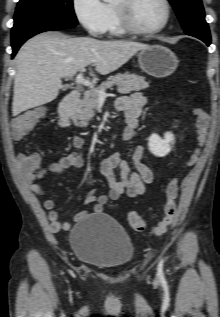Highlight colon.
<instances>
[{"instance_id": "colon-1", "label": "colon", "mask_w": 220, "mask_h": 317, "mask_svg": "<svg viewBox=\"0 0 220 317\" xmlns=\"http://www.w3.org/2000/svg\"><path fill=\"white\" fill-rule=\"evenodd\" d=\"M197 117L196 122V148L193 150L189 157V162H193L199 152V147L203 144L207 129L209 126V116L201 108H196L194 110ZM43 115L41 109H34L27 112H24L16 116L11 123V128L13 136L15 139H20L26 135L40 120ZM27 160L31 163L37 164L38 158L33 155H28ZM178 196V186H177V177H173L169 180L165 188V198L163 211L164 216L161 222L157 227L153 229V233L158 235L166 231L167 228L173 226L177 220V204L176 199ZM128 222L130 226L136 231L142 232L146 229L145 220L134 211L129 212Z\"/></svg>"}]
</instances>
